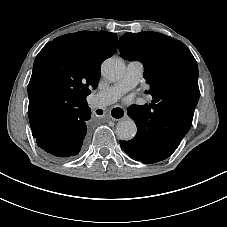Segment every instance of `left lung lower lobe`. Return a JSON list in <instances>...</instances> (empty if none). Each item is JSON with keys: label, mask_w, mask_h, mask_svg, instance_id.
I'll list each match as a JSON object with an SVG mask.
<instances>
[{"label": "left lung lower lobe", "mask_w": 227, "mask_h": 227, "mask_svg": "<svg viewBox=\"0 0 227 227\" xmlns=\"http://www.w3.org/2000/svg\"><path fill=\"white\" fill-rule=\"evenodd\" d=\"M187 95L183 100L156 101L150 105H132L127 109L137 126L136 136L119 141L134 160L156 163L169 157L189 131L197 102Z\"/></svg>", "instance_id": "0a47b994"}]
</instances>
